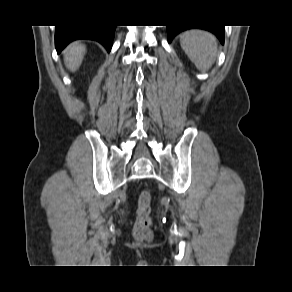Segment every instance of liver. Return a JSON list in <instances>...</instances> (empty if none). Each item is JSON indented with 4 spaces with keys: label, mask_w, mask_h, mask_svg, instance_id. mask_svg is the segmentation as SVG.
Instances as JSON below:
<instances>
[{
    "label": "liver",
    "mask_w": 292,
    "mask_h": 292,
    "mask_svg": "<svg viewBox=\"0 0 292 292\" xmlns=\"http://www.w3.org/2000/svg\"><path fill=\"white\" fill-rule=\"evenodd\" d=\"M85 54V46L79 43H75L68 47L65 52L64 60L66 66L71 71H76L82 63Z\"/></svg>",
    "instance_id": "1"
}]
</instances>
